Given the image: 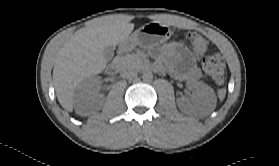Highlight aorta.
Wrapping results in <instances>:
<instances>
[{"instance_id": "1", "label": "aorta", "mask_w": 279, "mask_h": 166, "mask_svg": "<svg viewBox=\"0 0 279 166\" xmlns=\"http://www.w3.org/2000/svg\"><path fill=\"white\" fill-rule=\"evenodd\" d=\"M142 79H143V81H145V82H150V81H152V80H153V74H152V72H151V71H145V72H143V74H142Z\"/></svg>"}]
</instances>
